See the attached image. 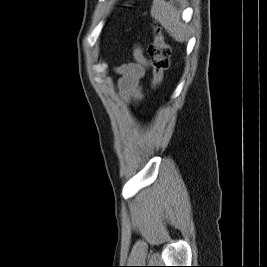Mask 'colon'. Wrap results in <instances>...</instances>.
Returning <instances> with one entry per match:
<instances>
[{
    "label": "colon",
    "instance_id": "1",
    "mask_svg": "<svg viewBox=\"0 0 267 267\" xmlns=\"http://www.w3.org/2000/svg\"><path fill=\"white\" fill-rule=\"evenodd\" d=\"M148 54L151 58L153 69V86L158 88L162 85L164 74L169 68L171 47L159 27L154 29V37L148 47Z\"/></svg>",
    "mask_w": 267,
    "mask_h": 267
}]
</instances>
